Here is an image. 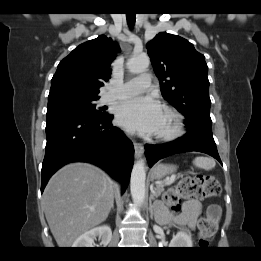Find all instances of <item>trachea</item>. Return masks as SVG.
I'll use <instances>...</instances> for the list:
<instances>
[{
    "label": "trachea",
    "mask_w": 261,
    "mask_h": 261,
    "mask_svg": "<svg viewBox=\"0 0 261 261\" xmlns=\"http://www.w3.org/2000/svg\"><path fill=\"white\" fill-rule=\"evenodd\" d=\"M135 16H136V13H126L127 22L129 24V26H131V27L135 23Z\"/></svg>",
    "instance_id": "1"
}]
</instances>
